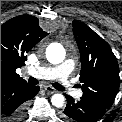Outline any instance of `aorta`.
I'll list each match as a JSON object with an SVG mask.
<instances>
[{"label": "aorta", "instance_id": "aorta-1", "mask_svg": "<svg viewBox=\"0 0 122 122\" xmlns=\"http://www.w3.org/2000/svg\"><path fill=\"white\" fill-rule=\"evenodd\" d=\"M47 60L52 64H59L65 59V49L62 45L54 43L48 46L46 50ZM51 103L55 107H62L65 103V97L62 94H54Z\"/></svg>", "mask_w": 122, "mask_h": 122}]
</instances>
